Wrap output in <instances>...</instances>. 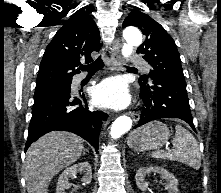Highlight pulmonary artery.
Masks as SVG:
<instances>
[{
	"mask_svg": "<svg viewBox=\"0 0 221 193\" xmlns=\"http://www.w3.org/2000/svg\"><path fill=\"white\" fill-rule=\"evenodd\" d=\"M132 63L135 64V65L140 66V67L142 68V70L145 71V72H149V70H150L149 65L146 64V63L144 62V60L141 59V58L138 57V56H133V57H132ZM84 78H85V75H78V76H76V77L74 78V80H73V85H74V86L79 85L80 82H81Z\"/></svg>",
	"mask_w": 221,
	"mask_h": 193,
	"instance_id": "e3ab8cb5",
	"label": "pulmonary artery"
}]
</instances>
